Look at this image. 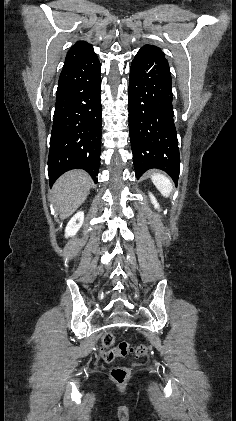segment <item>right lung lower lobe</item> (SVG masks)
Segmentation results:
<instances>
[{
  "label": "right lung lower lobe",
  "mask_w": 236,
  "mask_h": 421,
  "mask_svg": "<svg viewBox=\"0 0 236 421\" xmlns=\"http://www.w3.org/2000/svg\"><path fill=\"white\" fill-rule=\"evenodd\" d=\"M100 73L96 55L63 66L50 139V185L71 169H84L97 183L102 123Z\"/></svg>",
  "instance_id": "98d812e1"
}]
</instances>
